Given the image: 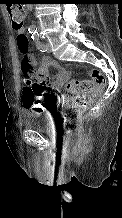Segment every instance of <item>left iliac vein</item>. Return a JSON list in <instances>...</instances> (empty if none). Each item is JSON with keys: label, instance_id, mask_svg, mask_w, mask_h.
Masks as SVG:
<instances>
[{"label": "left iliac vein", "instance_id": "obj_1", "mask_svg": "<svg viewBox=\"0 0 122 218\" xmlns=\"http://www.w3.org/2000/svg\"><path fill=\"white\" fill-rule=\"evenodd\" d=\"M45 46H46L47 51L51 52V45H50V43L46 42Z\"/></svg>", "mask_w": 122, "mask_h": 218}]
</instances>
